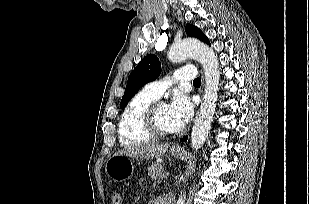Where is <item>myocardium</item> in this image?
<instances>
[{
    "label": "myocardium",
    "mask_w": 309,
    "mask_h": 204,
    "mask_svg": "<svg viewBox=\"0 0 309 204\" xmlns=\"http://www.w3.org/2000/svg\"><path fill=\"white\" fill-rule=\"evenodd\" d=\"M161 105H165V103L161 101L152 102L144 110L141 118V124L144 131L154 139L169 137L175 133L174 131H164L157 125L156 113Z\"/></svg>",
    "instance_id": "1"
}]
</instances>
